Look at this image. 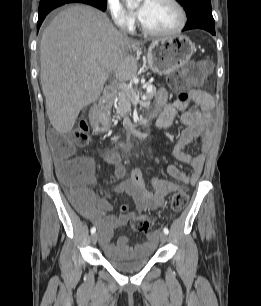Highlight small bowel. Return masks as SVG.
<instances>
[{"instance_id": "c3829d8e", "label": "small bowel", "mask_w": 261, "mask_h": 306, "mask_svg": "<svg viewBox=\"0 0 261 306\" xmlns=\"http://www.w3.org/2000/svg\"><path fill=\"white\" fill-rule=\"evenodd\" d=\"M167 100V90L160 89L156 98V106L158 109L157 128L159 130H164L176 119H179V121L184 125V130L177 144L171 149L170 153L176 160L190 164L192 174L190 176L186 175L175 165L168 166L167 172L178 182L194 185L203 171L206 155L210 150L212 138L215 132V122L211 115L213 101L209 95L200 90L194 91L191 98L187 101L177 99L172 103H168ZM191 103L200 106L201 111H184ZM195 140H200L201 153L192 157L185 151V148ZM84 159L89 167L88 181L92 183L95 181V163L93 159L89 157ZM105 160L112 168L114 175L118 179L123 178L125 170L120 163L119 152L116 149H111L105 154ZM67 164L68 162L66 161L58 160L56 162V168L59 171L60 168ZM150 184L154 188V192H151L147 188L142 172L139 169H134L131 172L129 179L124 180L115 186L113 192L129 193L135 201L136 209L138 211H144L162 208L166 196L172 194L180 187L179 183L167 181L157 176L151 177ZM80 209L82 213L97 226L100 233V242L105 251L114 252L115 246L124 245V241L113 245L111 240L114 231L117 228L126 225L134 216V213L121 215L110 214L112 205L109 200L102 198L96 201V196L91 190L86 191V196ZM147 238L148 242L145 246L152 247L158 240V234L150 233Z\"/></svg>"}]
</instances>
